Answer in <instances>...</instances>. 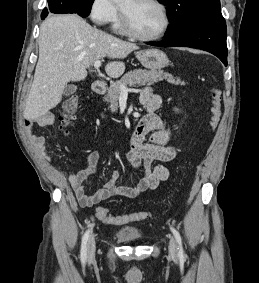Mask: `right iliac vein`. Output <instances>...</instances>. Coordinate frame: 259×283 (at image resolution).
<instances>
[{"mask_svg": "<svg viewBox=\"0 0 259 283\" xmlns=\"http://www.w3.org/2000/svg\"><path fill=\"white\" fill-rule=\"evenodd\" d=\"M95 250H96V241H95V235L92 234L88 240V245H87V251H88V258L92 259L95 255Z\"/></svg>", "mask_w": 259, "mask_h": 283, "instance_id": "right-iliac-vein-1", "label": "right iliac vein"}]
</instances>
